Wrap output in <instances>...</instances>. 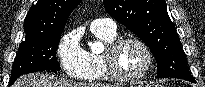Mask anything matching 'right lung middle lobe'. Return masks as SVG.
I'll return each mask as SVG.
<instances>
[{
  "mask_svg": "<svg viewBox=\"0 0 205 87\" xmlns=\"http://www.w3.org/2000/svg\"><path fill=\"white\" fill-rule=\"evenodd\" d=\"M62 32L52 34L26 35L16 55L10 84L22 74L42 70H60L56 50Z\"/></svg>",
  "mask_w": 205,
  "mask_h": 87,
  "instance_id": "dd1d6c3e",
  "label": "right lung middle lobe"
}]
</instances>
